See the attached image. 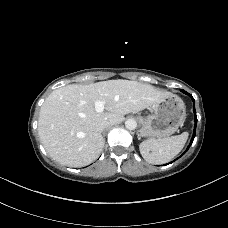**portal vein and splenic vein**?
Returning a JSON list of instances; mask_svg holds the SVG:
<instances>
[{"label": "portal vein and splenic vein", "mask_w": 228, "mask_h": 228, "mask_svg": "<svg viewBox=\"0 0 228 228\" xmlns=\"http://www.w3.org/2000/svg\"><path fill=\"white\" fill-rule=\"evenodd\" d=\"M104 102H102V101H97L96 103H95V108H96V111L97 112H103V110H104Z\"/></svg>", "instance_id": "obj_1"}]
</instances>
